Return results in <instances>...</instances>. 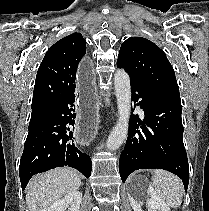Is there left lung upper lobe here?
<instances>
[{
    "label": "left lung upper lobe",
    "mask_w": 209,
    "mask_h": 211,
    "mask_svg": "<svg viewBox=\"0 0 209 211\" xmlns=\"http://www.w3.org/2000/svg\"><path fill=\"white\" fill-rule=\"evenodd\" d=\"M117 63L150 89L180 97L173 67L165 53L148 39L130 37L124 41Z\"/></svg>",
    "instance_id": "1"
}]
</instances>
